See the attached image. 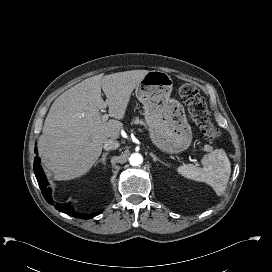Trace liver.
Returning <instances> with one entry per match:
<instances>
[{"label": "liver", "mask_w": 272, "mask_h": 272, "mask_svg": "<svg viewBox=\"0 0 272 272\" xmlns=\"http://www.w3.org/2000/svg\"><path fill=\"white\" fill-rule=\"evenodd\" d=\"M148 70H131L87 78L63 92L45 119L38 150L55 180L86 174L97 161L107 139L119 138L130 96ZM101 89L106 101L101 97ZM109 107L115 119L103 121L100 110Z\"/></svg>", "instance_id": "1"}]
</instances>
